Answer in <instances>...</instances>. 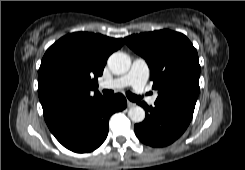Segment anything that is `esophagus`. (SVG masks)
<instances>
[{
	"instance_id": "1",
	"label": "esophagus",
	"mask_w": 245,
	"mask_h": 170,
	"mask_svg": "<svg viewBox=\"0 0 245 170\" xmlns=\"http://www.w3.org/2000/svg\"><path fill=\"white\" fill-rule=\"evenodd\" d=\"M127 105H128V107H133V106H135L136 104L133 103V102H131V101H127Z\"/></svg>"
}]
</instances>
